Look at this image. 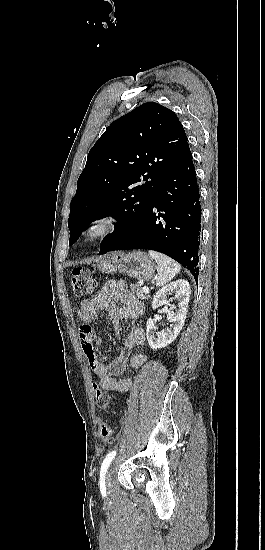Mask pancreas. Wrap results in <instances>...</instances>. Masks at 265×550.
<instances>
[{
	"instance_id": "cf45deb5",
	"label": "pancreas",
	"mask_w": 265,
	"mask_h": 550,
	"mask_svg": "<svg viewBox=\"0 0 265 550\" xmlns=\"http://www.w3.org/2000/svg\"><path fill=\"white\" fill-rule=\"evenodd\" d=\"M131 288V291L141 300H149L150 298V295L149 294H145L143 292V288H141L138 284H132L130 286Z\"/></svg>"
}]
</instances>
